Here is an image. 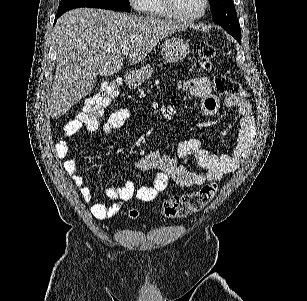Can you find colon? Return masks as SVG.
<instances>
[{"label": "colon", "mask_w": 307, "mask_h": 301, "mask_svg": "<svg viewBox=\"0 0 307 301\" xmlns=\"http://www.w3.org/2000/svg\"><path fill=\"white\" fill-rule=\"evenodd\" d=\"M193 56L204 70H209L215 57V49L210 43L197 40L193 44ZM212 81L214 89L220 94L238 97L246 95L242 85L228 75L215 74ZM120 87L121 84L118 80L105 82L99 92L88 99L83 112L79 115L81 124L91 131L98 129L106 108L119 95ZM216 193V183H207L194 192L176 195L165 200L160 206V213L170 219L185 217L201 211L210 203ZM129 216L135 218L137 211L131 210Z\"/></svg>", "instance_id": "5ec220e1"}]
</instances>
